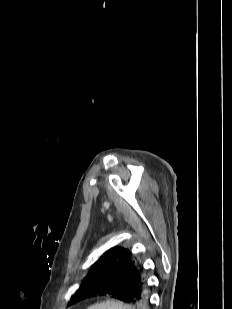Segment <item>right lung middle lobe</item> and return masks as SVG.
Here are the masks:
<instances>
[{
	"label": "right lung middle lobe",
	"mask_w": 232,
	"mask_h": 309,
	"mask_svg": "<svg viewBox=\"0 0 232 309\" xmlns=\"http://www.w3.org/2000/svg\"><path fill=\"white\" fill-rule=\"evenodd\" d=\"M125 278H132L130 274L118 273L117 271L109 270V271H98L93 274H88L86 278L83 280L82 285L72 296L69 305L76 304L84 299H86V291L90 286H100L115 283L117 280H124Z\"/></svg>",
	"instance_id": "dd1d6c3e"
}]
</instances>
